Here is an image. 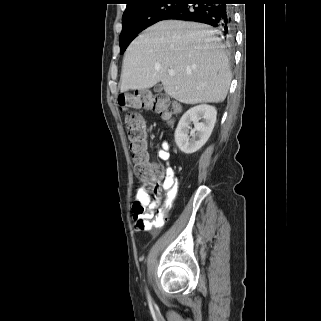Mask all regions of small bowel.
I'll return each mask as SVG.
<instances>
[{
  "label": "small bowel",
  "mask_w": 321,
  "mask_h": 321,
  "mask_svg": "<svg viewBox=\"0 0 321 321\" xmlns=\"http://www.w3.org/2000/svg\"><path fill=\"white\" fill-rule=\"evenodd\" d=\"M157 157L167 163L165 168L160 166L161 173L157 180L158 183H161L163 194L151 200L148 190L141 186L136 189L135 202L133 204L135 228L138 231H150L152 235H157L167 220L160 212L154 215L152 210L158 209L163 201V208L170 210L178 193L177 178L173 168L168 164L170 153L169 145L166 141L162 143L161 148L158 150ZM137 204L143 207V212L138 213L135 211L134 206ZM146 208L149 210L146 211Z\"/></svg>",
  "instance_id": "obj_1"
}]
</instances>
